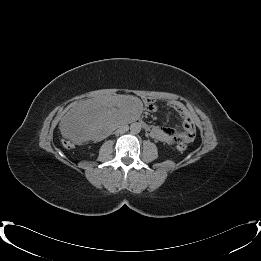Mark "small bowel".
<instances>
[{
  "label": "small bowel",
  "mask_w": 261,
  "mask_h": 261,
  "mask_svg": "<svg viewBox=\"0 0 261 261\" xmlns=\"http://www.w3.org/2000/svg\"><path fill=\"white\" fill-rule=\"evenodd\" d=\"M147 106L152 111L156 110V106L154 105L153 100H148ZM169 106L173 108L182 119L183 130L178 131L174 128L152 125L148 126L147 131L149 135L168 144H174L178 140H183L186 143L193 141L196 135V126L192 115L179 102H169Z\"/></svg>",
  "instance_id": "small-bowel-1"
}]
</instances>
